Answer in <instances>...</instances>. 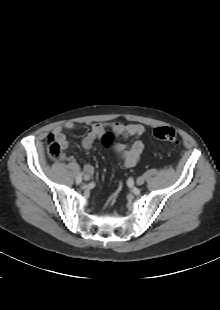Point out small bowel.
<instances>
[{
    "label": "small bowel",
    "instance_id": "1",
    "mask_svg": "<svg viewBox=\"0 0 220 310\" xmlns=\"http://www.w3.org/2000/svg\"><path fill=\"white\" fill-rule=\"evenodd\" d=\"M75 128L74 123L66 122L57 127L53 131V135L61 143L64 149L68 147V140L65 132H71ZM108 130L115 132L117 135L124 138H140L145 133V127L142 124L131 123L124 125L119 122L114 123H94L91 125L90 131L82 139L81 145L85 150H89L93 143ZM113 150L125 168H132L137 165L141 154L144 150V143L142 140L137 139L131 144L117 143L113 146ZM84 171L87 175H93L94 168L90 164L84 166Z\"/></svg>",
    "mask_w": 220,
    "mask_h": 310
}]
</instances>
